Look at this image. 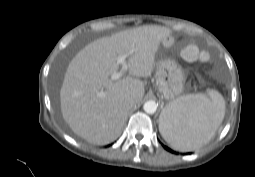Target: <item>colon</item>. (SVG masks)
Returning a JSON list of instances; mask_svg holds the SVG:
<instances>
[{
    "mask_svg": "<svg viewBox=\"0 0 255 177\" xmlns=\"http://www.w3.org/2000/svg\"><path fill=\"white\" fill-rule=\"evenodd\" d=\"M181 54L183 58L188 61H200V62H208L210 60V53L208 51H200L195 44L186 45Z\"/></svg>",
    "mask_w": 255,
    "mask_h": 177,
    "instance_id": "obj_1",
    "label": "colon"
}]
</instances>
